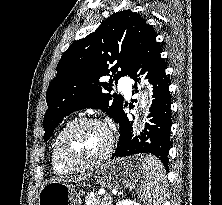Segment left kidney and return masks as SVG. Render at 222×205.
<instances>
[{
	"instance_id": "obj_1",
	"label": "left kidney",
	"mask_w": 222,
	"mask_h": 205,
	"mask_svg": "<svg viewBox=\"0 0 222 205\" xmlns=\"http://www.w3.org/2000/svg\"><path fill=\"white\" fill-rule=\"evenodd\" d=\"M116 205H141V204L138 202L126 199V200L119 201Z\"/></svg>"
}]
</instances>
